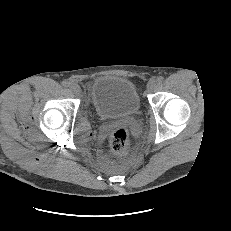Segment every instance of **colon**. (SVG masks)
<instances>
[{"label": "colon", "mask_w": 231, "mask_h": 231, "mask_svg": "<svg viewBox=\"0 0 231 231\" xmlns=\"http://www.w3.org/2000/svg\"><path fill=\"white\" fill-rule=\"evenodd\" d=\"M130 143L128 129L124 126L116 127L109 139V144L113 152L115 153H124Z\"/></svg>", "instance_id": "5ec220e1"}]
</instances>
